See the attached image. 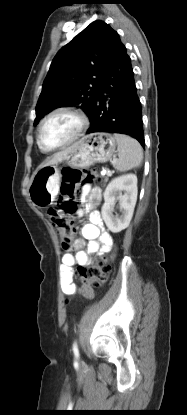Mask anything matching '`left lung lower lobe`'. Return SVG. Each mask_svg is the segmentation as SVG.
I'll return each mask as SVG.
<instances>
[{
	"label": "left lung lower lobe",
	"mask_w": 187,
	"mask_h": 415,
	"mask_svg": "<svg viewBox=\"0 0 187 415\" xmlns=\"http://www.w3.org/2000/svg\"><path fill=\"white\" fill-rule=\"evenodd\" d=\"M87 134L109 132L130 135L145 147L141 103L126 47L117 37L96 91Z\"/></svg>",
	"instance_id": "0a47b994"
}]
</instances>
